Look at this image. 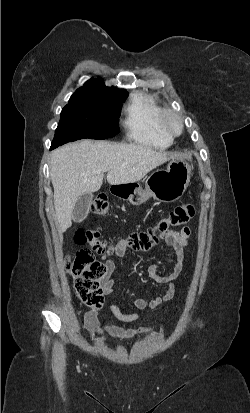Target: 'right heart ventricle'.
I'll return each mask as SVG.
<instances>
[{
	"label": "right heart ventricle",
	"instance_id": "obj_1",
	"mask_svg": "<svg viewBox=\"0 0 250 413\" xmlns=\"http://www.w3.org/2000/svg\"><path fill=\"white\" fill-rule=\"evenodd\" d=\"M161 111V106L151 94L134 93L125 108L123 120L127 138L158 149L169 147L172 138L165 135L159 126Z\"/></svg>",
	"mask_w": 250,
	"mask_h": 413
}]
</instances>
